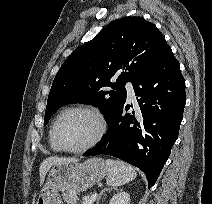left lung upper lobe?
Returning a JSON list of instances; mask_svg holds the SVG:
<instances>
[{
  "label": "left lung upper lobe",
  "mask_w": 212,
  "mask_h": 204,
  "mask_svg": "<svg viewBox=\"0 0 212 204\" xmlns=\"http://www.w3.org/2000/svg\"><path fill=\"white\" fill-rule=\"evenodd\" d=\"M169 48L157 27L142 17L112 21L59 69L48 96L44 125L58 108L70 103L98 106L108 118L126 101L125 83L134 84Z\"/></svg>",
  "instance_id": "1"
}]
</instances>
